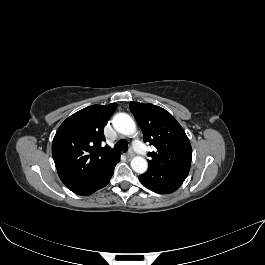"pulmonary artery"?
Returning <instances> with one entry per match:
<instances>
[{
  "mask_svg": "<svg viewBox=\"0 0 265 265\" xmlns=\"http://www.w3.org/2000/svg\"><path fill=\"white\" fill-rule=\"evenodd\" d=\"M133 146L135 150L142 155H146L148 153V149L140 141H134Z\"/></svg>",
  "mask_w": 265,
  "mask_h": 265,
  "instance_id": "e3ab8cb5",
  "label": "pulmonary artery"
}]
</instances>
